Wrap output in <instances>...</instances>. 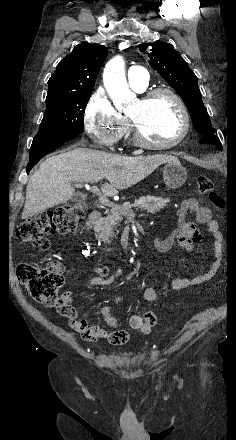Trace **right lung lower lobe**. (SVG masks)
I'll return each instance as SVG.
<instances>
[{
    "instance_id": "1",
    "label": "right lung lower lobe",
    "mask_w": 236,
    "mask_h": 440,
    "mask_svg": "<svg viewBox=\"0 0 236 440\" xmlns=\"http://www.w3.org/2000/svg\"><path fill=\"white\" fill-rule=\"evenodd\" d=\"M77 134H64L57 136H35L30 148L29 163L27 165L26 171L32 169L33 166L47 153L54 151L60 147L64 142L77 137Z\"/></svg>"
}]
</instances>
